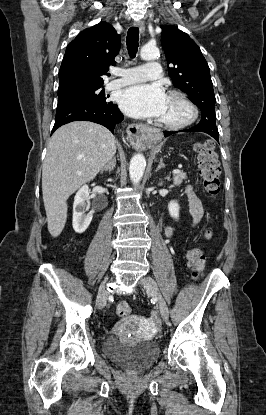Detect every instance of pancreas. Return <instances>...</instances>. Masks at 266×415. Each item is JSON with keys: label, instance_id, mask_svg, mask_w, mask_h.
I'll list each match as a JSON object with an SVG mask.
<instances>
[{"label": "pancreas", "instance_id": "1", "mask_svg": "<svg viewBox=\"0 0 266 415\" xmlns=\"http://www.w3.org/2000/svg\"><path fill=\"white\" fill-rule=\"evenodd\" d=\"M186 179H187L186 173L174 174L173 176V182L175 185L181 184L183 180H186Z\"/></svg>", "mask_w": 266, "mask_h": 415}]
</instances>
